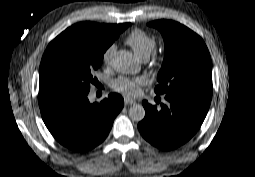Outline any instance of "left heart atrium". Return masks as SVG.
<instances>
[{
    "label": "left heart atrium",
    "instance_id": "obj_1",
    "mask_svg": "<svg viewBox=\"0 0 255 177\" xmlns=\"http://www.w3.org/2000/svg\"><path fill=\"white\" fill-rule=\"evenodd\" d=\"M144 81L141 78L119 77L112 82V88L127 96H136L140 92V86Z\"/></svg>",
    "mask_w": 255,
    "mask_h": 177
}]
</instances>
